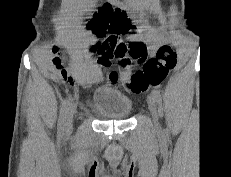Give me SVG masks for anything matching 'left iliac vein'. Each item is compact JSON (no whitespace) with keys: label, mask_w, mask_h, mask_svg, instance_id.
<instances>
[{"label":"left iliac vein","mask_w":231,"mask_h":177,"mask_svg":"<svg viewBox=\"0 0 231 177\" xmlns=\"http://www.w3.org/2000/svg\"><path fill=\"white\" fill-rule=\"evenodd\" d=\"M147 103H148L149 111L153 118L154 126L157 130H159L160 123H159V117H158V108H157V104H156L154 97L149 95L147 97Z\"/></svg>","instance_id":"left-iliac-vein-1"}]
</instances>
